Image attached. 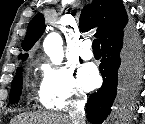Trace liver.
Instances as JSON below:
<instances>
[{"instance_id":"obj_1","label":"liver","mask_w":145,"mask_h":124,"mask_svg":"<svg viewBox=\"0 0 145 124\" xmlns=\"http://www.w3.org/2000/svg\"><path fill=\"white\" fill-rule=\"evenodd\" d=\"M10 124H72V121L60 114L26 113L17 116Z\"/></svg>"}]
</instances>
